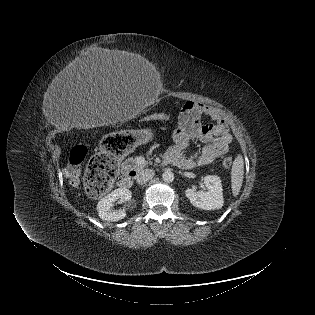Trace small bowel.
Returning <instances> with one entry per match:
<instances>
[{
    "mask_svg": "<svg viewBox=\"0 0 315 315\" xmlns=\"http://www.w3.org/2000/svg\"><path fill=\"white\" fill-rule=\"evenodd\" d=\"M209 117L212 123H202ZM198 139L204 144L196 156L187 154L190 141ZM232 137L222 115L214 108L187 102L177 116L172 133L174 145L166 154V162L182 169H193L212 163L228 152Z\"/></svg>",
    "mask_w": 315,
    "mask_h": 315,
    "instance_id": "c3829d8e",
    "label": "small bowel"
}]
</instances>
